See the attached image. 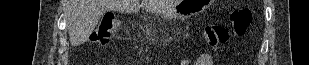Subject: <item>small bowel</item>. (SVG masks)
<instances>
[{"label": "small bowel", "instance_id": "1", "mask_svg": "<svg viewBox=\"0 0 309 65\" xmlns=\"http://www.w3.org/2000/svg\"><path fill=\"white\" fill-rule=\"evenodd\" d=\"M180 65H213V58L210 54H199L184 59Z\"/></svg>", "mask_w": 309, "mask_h": 65}]
</instances>
